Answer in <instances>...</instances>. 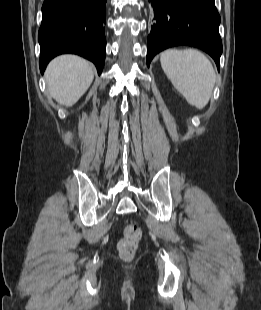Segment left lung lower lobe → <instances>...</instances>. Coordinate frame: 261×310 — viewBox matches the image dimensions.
I'll use <instances>...</instances> for the list:
<instances>
[{
	"label": "left lung lower lobe",
	"mask_w": 261,
	"mask_h": 310,
	"mask_svg": "<svg viewBox=\"0 0 261 310\" xmlns=\"http://www.w3.org/2000/svg\"><path fill=\"white\" fill-rule=\"evenodd\" d=\"M154 23L147 42V66L164 49L176 45L198 47L216 62L222 54L220 15L214 0H148Z\"/></svg>",
	"instance_id": "left-lung-lower-lobe-1"
}]
</instances>
